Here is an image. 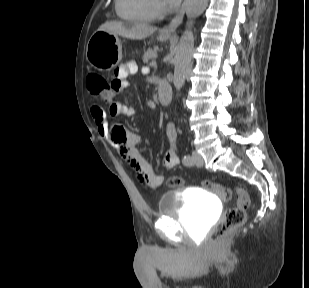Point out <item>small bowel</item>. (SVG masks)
<instances>
[{"label":"small bowel","mask_w":309,"mask_h":288,"mask_svg":"<svg viewBox=\"0 0 309 288\" xmlns=\"http://www.w3.org/2000/svg\"><path fill=\"white\" fill-rule=\"evenodd\" d=\"M129 68L128 65H124L116 71V78L113 82L120 85V91H125L128 88V83L125 78ZM109 112L112 116L133 115L132 107L127 103L121 102L112 103ZM91 113L98 133L123 156L125 162L134 170L137 179L144 186L159 188L162 185L163 177L157 174L139 153L137 146L140 144L141 138L132 132L126 131L121 126H110L107 114L103 108L93 106L91 108ZM167 136L169 147L164 155L163 162L167 169H171L179 163L176 149V131L172 124H169L167 127Z\"/></svg>","instance_id":"c3829d8e"}]
</instances>
